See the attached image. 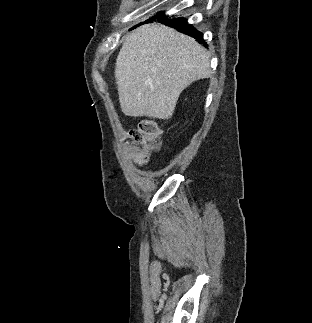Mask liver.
<instances>
[{
    "mask_svg": "<svg viewBox=\"0 0 312 323\" xmlns=\"http://www.w3.org/2000/svg\"><path fill=\"white\" fill-rule=\"evenodd\" d=\"M210 74L205 48L162 24L125 36L114 72L123 114L159 120H169L181 92Z\"/></svg>",
    "mask_w": 312,
    "mask_h": 323,
    "instance_id": "1",
    "label": "liver"
}]
</instances>
